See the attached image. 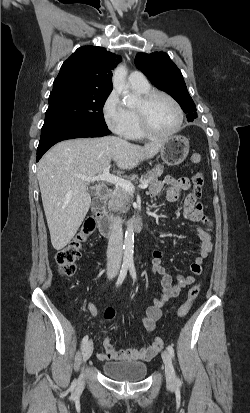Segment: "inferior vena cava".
<instances>
[{
	"label": "inferior vena cava",
	"instance_id": "602c4592",
	"mask_svg": "<svg viewBox=\"0 0 250 413\" xmlns=\"http://www.w3.org/2000/svg\"><path fill=\"white\" fill-rule=\"evenodd\" d=\"M123 231L122 219L118 216L112 220L111 234L108 241V267L118 269L122 260Z\"/></svg>",
	"mask_w": 250,
	"mask_h": 413
}]
</instances>
